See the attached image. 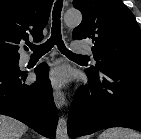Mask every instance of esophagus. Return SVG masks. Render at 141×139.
Instances as JSON below:
<instances>
[{
  "instance_id": "esophagus-1",
  "label": "esophagus",
  "mask_w": 141,
  "mask_h": 139,
  "mask_svg": "<svg viewBox=\"0 0 141 139\" xmlns=\"http://www.w3.org/2000/svg\"><path fill=\"white\" fill-rule=\"evenodd\" d=\"M53 96H54V102H55L56 107L58 109H61L65 104L64 93L59 89H55L53 92Z\"/></svg>"
}]
</instances>
